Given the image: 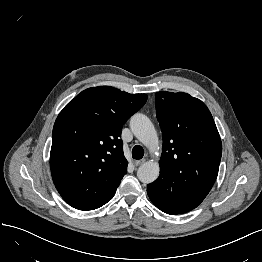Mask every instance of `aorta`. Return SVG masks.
Segmentation results:
<instances>
[{"label":"aorta","instance_id":"1","mask_svg":"<svg viewBox=\"0 0 262 262\" xmlns=\"http://www.w3.org/2000/svg\"><path fill=\"white\" fill-rule=\"evenodd\" d=\"M130 128L135 137L147 148L153 150L158 146V136L153 123L143 114H135L131 117ZM160 173L159 163L147 161L137 170L138 179L145 184L154 182Z\"/></svg>","mask_w":262,"mask_h":262}]
</instances>
